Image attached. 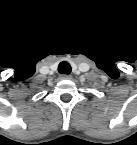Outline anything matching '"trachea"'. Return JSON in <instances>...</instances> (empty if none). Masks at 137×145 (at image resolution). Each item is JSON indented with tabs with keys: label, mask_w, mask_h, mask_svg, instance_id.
<instances>
[{
	"label": "trachea",
	"mask_w": 137,
	"mask_h": 145,
	"mask_svg": "<svg viewBox=\"0 0 137 145\" xmlns=\"http://www.w3.org/2000/svg\"><path fill=\"white\" fill-rule=\"evenodd\" d=\"M58 72L62 74H67V75L70 74L71 65L66 61L61 62L58 66Z\"/></svg>",
	"instance_id": "obj_1"
}]
</instances>
